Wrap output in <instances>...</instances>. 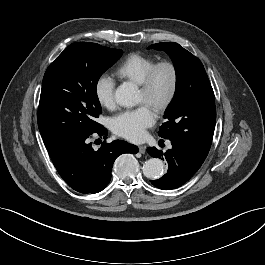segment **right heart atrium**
<instances>
[{"label":"right heart atrium","mask_w":265,"mask_h":265,"mask_svg":"<svg viewBox=\"0 0 265 265\" xmlns=\"http://www.w3.org/2000/svg\"><path fill=\"white\" fill-rule=\"evenodd\" d=\"M115 81L107 75L101 74L94 83V94L99 105L106 109H112L115 106Z\"/></svg>","instance_id":"1"}]
</instances>
